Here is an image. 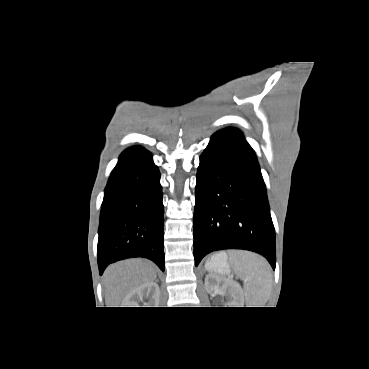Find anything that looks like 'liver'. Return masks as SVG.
Segmentation results:
<instances>
[{"label":"liver","mask_w":369,"mask_h":369,"mask_svg":"<svg viewBox=\"0 0 369 369\" xmlns=\"http://www.w3.org/2000/svg\"><path fill=\"white\" fill-rule=\"evenodd\" d=\"M155 279V267L147 260L128 259L111 264L103 275L106 307H118L132 290Z\"/></svg>","instance_id":"obj_1"}]
</instances>
